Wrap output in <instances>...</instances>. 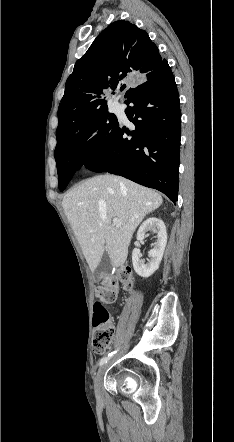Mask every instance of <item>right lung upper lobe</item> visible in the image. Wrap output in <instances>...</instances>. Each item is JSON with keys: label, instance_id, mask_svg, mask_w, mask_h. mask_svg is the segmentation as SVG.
<instances>
[{"label": "right lung upper lobe", "instance_id": "1", "mask_svg": "<svg viewBox=\"0 0 234 442\" xmlns=\"http://www.w3.org/2000/svg\"><path fill=\"white\" fill-rule=\"evenodd\" d=\"M167 61L148 34L128 21H116L103 30L76 62L65 84L58 108L57 144L64 141L88 115L107 107L101 95L124 90L132 78H152ZM121 86V87H120ZM135 88L125 93L127 99Z\"/></svg>", "mask_w": 234, "mask_h": 442}]
</instances>
